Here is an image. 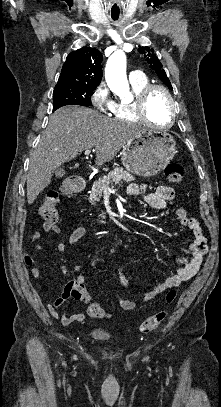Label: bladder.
<instances>
[{
    "mask_svg": "<svg viewBox=\"0 0 221 407\" xmlns=\"http://www.w3.org/2000/svg\"><path fill=\"white\" fill-rule=\"evenodd\" d=\"M91 338L99 341H108L111 335L108 330L103 328H95L90 333Z\"/></svg>",
    "mask_w": 221,
    "mask_h": 407,
    "instance_id": "1",
    "label": "bladder"
}]
</instances>
